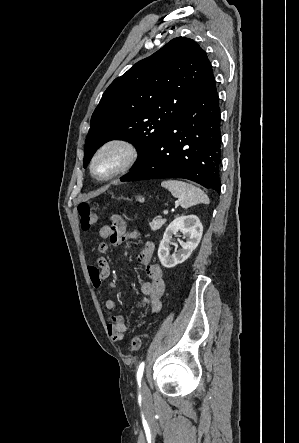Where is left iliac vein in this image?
<instances>
[{
  "label": "left iliac vein",
  "mask_w": 299,
  "mask_h": 443,
  "mask_svg": "<svg viewBox=\"0 0 299 443\" xmlns=\"http://www.w3.org/2000/svg\"><path fill=\"white\" fill-rule=\"evenodd\" d=\"M142 394L144 396H147L149 394V390H148V387H147L145 381H143V383H142Z\"/></svg>",
  "instance_id": "1"
}]
</instances>
